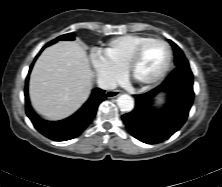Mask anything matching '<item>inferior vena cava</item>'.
<instances>
[{
	"instance_id": "602c4592",
	"label": "inferior vena cava",
	"mask_w": 222,
	"mask_h": 187,
	"mask_svg": "<svg viewBox=\"0 0 222 187\" xmlns=\"http://www.w3.org/2000/svg\"><path fill=\"white\" fill-rule=\"evenodd\" d=\"M98 87L103 90L115 89L117 84L116 82L107 76H100L97 78Z\"/></svg>"
}]
</instances>
